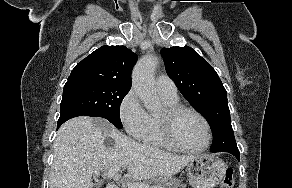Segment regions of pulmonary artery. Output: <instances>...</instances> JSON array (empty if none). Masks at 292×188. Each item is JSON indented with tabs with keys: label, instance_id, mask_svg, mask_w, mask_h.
Segmentation results:
<instances>
[{
	"label": "pulmonary artery",
	"instance_id": "e3ab8cb5",
	"mask_svg": "<svg viewBox=\"0 0 292 188\" xmlns=\"http://www.w3.org/2000/svg\"><path fill=\"white\" fill-rule=\"evenodd\" d=\"M157 91L160 95L167 98L177 97V88L174 81L166 75H160L157 78Z\"/></svg>",
	"mask_w": 292,
	"mask_h": 188
}]
</instances>
